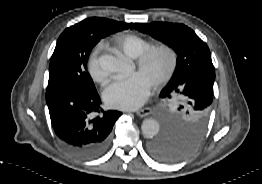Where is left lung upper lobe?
<instances>
[{"label": "left lung upper lobe", "instance_id": "left-lung-upper-lobe-1", "mask_svg": "<svg viewBox=\"0 0 262 184\" xmlns=\"http://www.w3.org/2000/svg\"><path fill=\"white\" fill-rule=\"evenodd\" d=\"M135 28L173 47L178 55L176 70L160 92L174 106L160 107L165 136L194 149L204 137L213 101L215 70L210 50L195 32L179 23H135Z\"/></svg>", "mask_w": 262, "mask_h": 184}]
</instances>
